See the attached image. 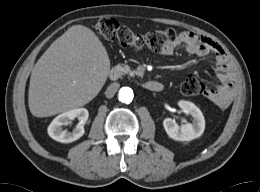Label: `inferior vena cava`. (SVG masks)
<instances>
[{
	"label": "inferior vena cava",
	"mask_w": 260,
	"mask_h": 192,
	"mask_svg": "<svg viewBox=\"0 0 260 192\" xmlns=\"http://www.w3.org/2000/svg\"><path fill=\"white\" fill-rule=\"evenodd\" d=\"M119 87H120V84L117 82L110 84L107 87L106 92H105L106 97L112 98L115 95V93L117 92Z\"/></svg>",
	"instance_id": "obj_1"
}]
</instances>
